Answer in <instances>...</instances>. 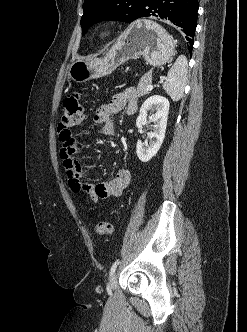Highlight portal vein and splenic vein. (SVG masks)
<instances>
[{"label":"portal vein and splenic vein","instance_id":"obj_1","mask_svg":"<svg viewBox=\"0 0 247 332\" xmlns=\"http://www.w3.org/2000/svg\"><path fill=\"white\" fill-rule=\"evenodd\" d=\"M152 89H153L152 84H149V85L147 86V90H148V91H151Z\"/></svg>","mask_w":247,"mask_h":332}]
</instances>
